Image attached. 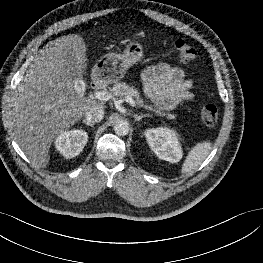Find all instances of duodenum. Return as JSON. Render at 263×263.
Masks as SVG:
<instances>
[{"label":"duodenum","mask_w":263,"mask_h":263,"mask_svg":"<svg viewBox=\"0 0 263 263\" xmlns=\"http://www.w3.org/2000/svg\"><path fill=\"white\" fill-rule=\"evenodd\" d=\"M100 87V84L98 82H93L92 83V88L93 89H98Z\"/></svg>","instance_id":"1"}]
</instances>
